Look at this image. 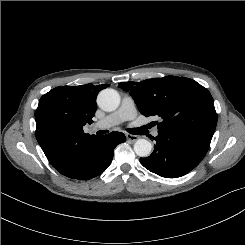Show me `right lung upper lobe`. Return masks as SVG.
<instances>
[{
  "label": "right lung upper lobe",
  "mask_w": 245,
  "mask_h": 245,
  "mask_svg": "<svg viewBox=\"0 0 245 245\" xmlns=\"http://www.w3.org/2000/svg\"><path fill=\"white\" fill-rule=\"evenodd\" d=\"M107 84L56 87L44 94L35 111L36 138L55 169L76 158L98 136L85 134L97 110L96 97Z\"/></svg>",
  "instance_id": "cb5924a9"
}]
</instances>
